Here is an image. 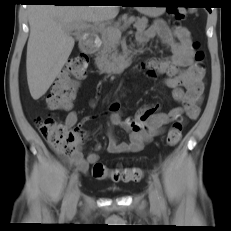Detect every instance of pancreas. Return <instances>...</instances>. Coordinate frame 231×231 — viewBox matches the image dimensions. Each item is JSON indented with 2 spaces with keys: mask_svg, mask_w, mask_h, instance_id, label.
<instances>
[{
  "mask_svg": "<svg viewBox=\"0 0 231 231\" xmlns=\"http://www.w3.org/2000/svg\"><path fill=\"white\" fill-rule=\"evenodd\" d=\"M133 18V17H131ZM148 25V19L145 17L136 18L134 27L137 30H145ZM114 29H119L120 22H116L113 25L109 26ZM102 38V48L96 54V65L101 71H109L116 66L118 62L117 57V40L112 35L107 32H101Z\"/></svg>",
  "mask_w": 231,
  "mask_h": 231,
  "instance_id": "1",
  "label": "pancreas"
}]
</instances>
